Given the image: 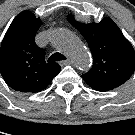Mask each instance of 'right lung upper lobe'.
I'll list each match as a JSON object with an SVG mask.
<instances>
[{
    "label": "right lung upper lobe",
    "mask_w": 135,
    "mask_h": 135,
    "mask_svg": "<svg viewBox=\"0 0 135 135\" xmlns=\"http://www.w3.org/2000/svg\"><path fill=\"white\" fill-rule=\"evenodd\" d=\"M41 20L23 11L9 26L0 47V73L9 87L23 93L44 90L60 72L55 63L45 62V52L34 37Z\"/></svg>",
    "instance_id": "right-lung-upper-lobe-1"
}]
</instances>
